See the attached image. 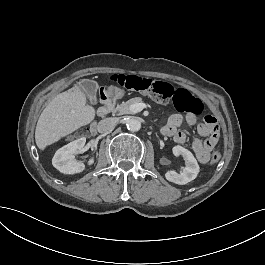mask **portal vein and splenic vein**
<instances>
[{
    "label": "portal vein and splenic vein",
    "instance_id": "obj_1",
    "mask_svg": "<svg viewBox=\"0 0 265 265\" xmlns=\"http://www.w3.org/2000/svg\"><path fill=\"white\" fill-rule=\"evenodd\" d=\"M144 108H146L145 103H137V104L131 105V107H130V109L133 113H138V112L142 111Z\"/></svg>",
    "mask_w": 265,
    "mask_h": 265
}]
</instances>
